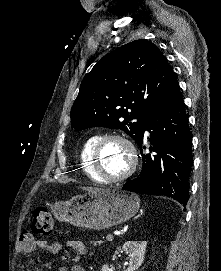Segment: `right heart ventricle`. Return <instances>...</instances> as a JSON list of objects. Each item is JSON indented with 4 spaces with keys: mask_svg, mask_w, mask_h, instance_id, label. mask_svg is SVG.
Instances as JSON below:
<instances>
[{
    "mask_svg": "<svg viewBox=\"0 0 221 271\" xmlns=\"http://www.w3.org/2000/svg\"><path fill=\"white\" fill-rule=\"evenodd\" d=\"M97 136V134H91L82 142L79 155L80 164L83 162L84 176H87V179H93L97 183H108V178H102V174H99V171H94V167H97V162H95V158H92L91 152L95 148L94 142Z\"/></svg>",
    "mask_w": 221,
    "mask_h": 271,
    "instance_id": "1",
    "label": "right heart ventricle"
}]
</instances>
